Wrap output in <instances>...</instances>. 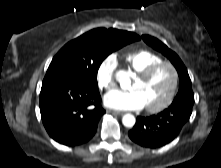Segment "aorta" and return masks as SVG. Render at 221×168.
I'll return each instance as SVG.
<instances>
[{
    "label": "aorta",
    "mask_w": 221,
    "mask_h": 168,
    "mask_svg": "<svg viewBox=\"0 0 221 168\" xmlns=\"http://www.w3.org/2000/svg\"><path fill=\"white\" fill-rule=\"evenodd\" d=\"M123 73L119 74V79L121 80ZM135 117L132 114H125L122 118V123L125 127H133L135 124Z\"/></svg>",
    "instance_id": "1"
}]
</instances>
